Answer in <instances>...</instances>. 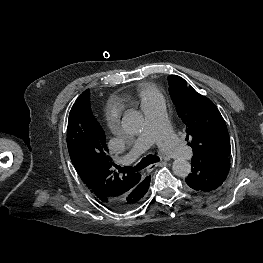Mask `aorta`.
Segmentation results:
<instances>
[{"label": "aorta", "instance_id": "762f6f07", "mask_svg": "<svg viewBox=\"0 0 263 263\" xmlns=\"http://www.w3.org/2000/svg\"><path fill=\"white\" fill-rule=\"evenodd\" d=\"M122 128L130 136L139 135L144 128L143 115L137 111H128L122 118ZM173 173L179 177H186L191 172V164L185 159H177L172 164Z\"/></svg>", "mask_w": 263, "mask_h": 263}]
</instances>
